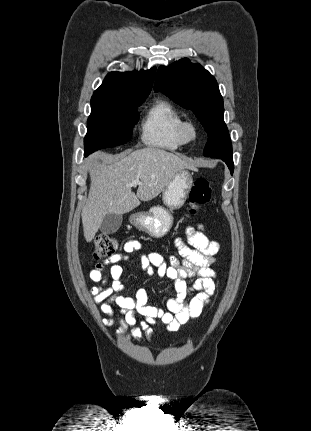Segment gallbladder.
Returning a JSON list of instances; mask_svg holds the SVG:
<instances>
[{
  "instance_id": "bac80fb5",
  "label": "gallbladder",
  "mask_w": 311,
  "mask_h": 431,
  "mask_svg": "<svg viewBox=\"0 0 311 431\" xmlns=\"http://www.w3.org/2000/svg\"><path fill=\"white\" fill-rule=\"evenodd\" d=\"M122 221L123 216H119V214H107L100 225V231L102 233H115L122 225Z\"/></svg>"
}]
</instances>
